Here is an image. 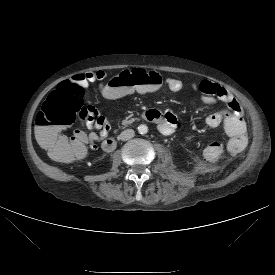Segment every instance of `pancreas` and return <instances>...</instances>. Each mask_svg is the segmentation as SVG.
Returning a JSON list of instances; mask_svg holds the SVG:
<instances>
[{
  "label": "pancreas",
  "instance_id": "obj_1",
  "mask_svg": "<svg viewBox=\"0 0 275 275\" xmlns=\"http://www.w3.org/2000/svg\"><path fill=\"white\" fill-rule=\"evenodd\" d=\"M130 117H131V116H128L126 119H124V120L122 121V125H123V126H127V125L131 124V123L134 121L133 118L129 119Z\"/></svg>",
  "mask_w": 275,
  "mask_h": 275
}]
</instances>
